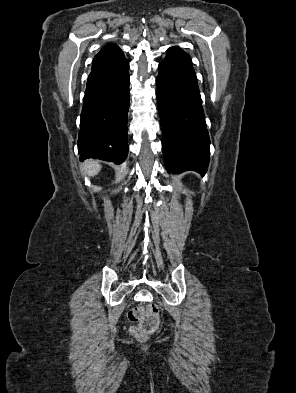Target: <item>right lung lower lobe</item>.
<instances>
[{
    "label": "right lung lower lobe",
    "mask_w": 296,
    "mask_h": 393,
    "mask_svg": "<svg viewBox=\"0 0 296 393\" xmlns=\"http://www.w3.org/2000/svg\"><path fill=\"white\" fill-rule=\"evenodd\" d=\"M129 63L121 49L104 46L88 76L78 139L80 160L121 164L128 154Z\"/></svg>",
    "instance_id": "1"
}]
</instances>
